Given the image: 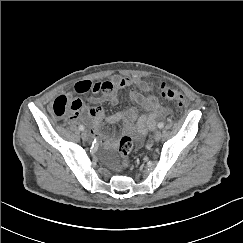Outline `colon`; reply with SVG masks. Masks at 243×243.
I'll use <instances>...</instances> for the list:
<instances>
[{
    "label": "colon",
    "mask_w": 243,
    "mask_h": 243,
    "mask_svg": "<svg viewBox=\"0 0 243 243\" xmlns=\"http://www.w3.org/2000/svg\"><path fill=\"white\" fill-rule=\"evenodd\" d=\"M158 94L160 97L173 105L183 106L184 97L179 89L170 86L168 84L162 83L159 86ZM53 112L56 116L62 117L65 115L67 110V105L64 101H55L52 105ZM133 149V141L130 137H122L119 141V153L121 156V166L127 168L130 163V154Z\"/></svg>",
    "instance_id": "obj_1"
}]
</instances>
